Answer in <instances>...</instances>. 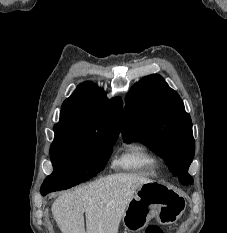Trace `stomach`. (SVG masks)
<instances>
[{
    "mask_svg": "<svg viewBox=\"0 0 227 233\" xmlns=\"http://www.w3.org/2000/svg\"><path fill=\"white\" fill-rule=\"evenodd\" d=\"M185 207V199L177 190L161 182H151L138 188L123 223L130 231L143 229L154 217L161 224H171L180 218Z\"/></svg>",
    "mask_w": 227,
    "mask_h": 233,
    "instance_id": "obj_1",
    "label": "stomach"
}]
</instances>
